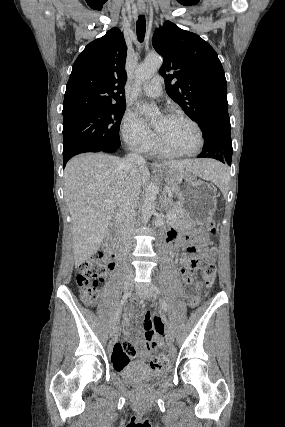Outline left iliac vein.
<instances>
[{
	"label": "left iliac vein",
	"instance_id": "1",
	"mask_svg": "<svg viewBox=\"0 0 285 427\" xmlns=\"http://www.w3.org/2000/svg\"><path fill=\"white\" fill-rule=\"evenodd\" d=\"M136 293L146 300H150L153 296V290L150 287H135ZM166 337L170 342L174 341V329L170 321L166 325Z\"/></svg>",
	"mask_w": 285,
	"mask_h": 427
}]
</instances>
